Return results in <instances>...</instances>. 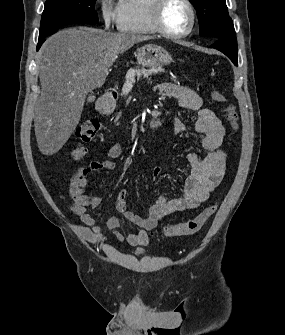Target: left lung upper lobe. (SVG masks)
Instances as JSON below:
<instances>
[{
	"label": "left lung upper lobe",
	"instance_id": "left-lung-upper-lobe-1",
	"mask_svg": "<svg viewBox=\"0 0 285 335\" xmlns=\"http://www.w3.org/2000/svg\"><path fill=\"white\" fill-rule=\"evenodd\" d=\"M190 2L198 14L201 36H208L213 40L236 37L225 0H190Z\"/></svg>",
	"mask_w": 285,
	"mask_h": 335
}]
</instances>
